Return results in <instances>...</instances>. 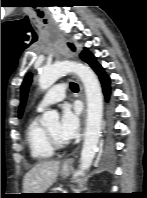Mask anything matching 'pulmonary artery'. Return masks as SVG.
Listing matches in <instances>:
<instances>
[{
  "label": "pulmonary artery",
  "mask_w": 147,
  "mask_h": 198,
  "mask_svg": "<svg viewBox=\"0 0 147 198\" xmlns=\"http://www.w3.org/2000/svg\"><path fill=\"white\" fill-rule=\"evenodd\" d=\"M66 92L65 84H57L48 90L44 97L39 101L37 105L38 110H43L48 105L60 102L64 100Z\"/></svg>",
  "instance_id": "e3ab8cb5"
}]
</instances>
